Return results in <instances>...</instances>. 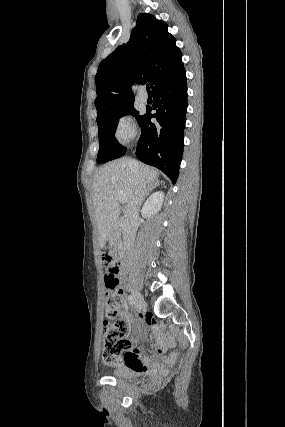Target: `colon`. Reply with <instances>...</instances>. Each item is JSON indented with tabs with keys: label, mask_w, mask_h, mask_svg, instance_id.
<instances>
[{
	"label": "colon",
	"mask_w": 285,
	"mask_h": 427,
	"mask_svg": "<svg viewBox=\"0 0 285 427\" xmlns=\"http://www.w3.org/2000/svg\"><path fill=\"white\" fill-rule=\"evenodd\" d=\"M101 263L105 272L104 281L107 290L105 296L106 319L104 321L102 362L106 366H111L117 363L122 354L131 352L133 344L125 336L127 323L118 316L122 303L121 294L117 289L120 264L107 252H103ZM158 352L162 353L163 350L159 348ZM135 367L142 369L145 364L138 361L135 363Z\"/></svg>",
	"instance_id": "1"
}]
</instances>
